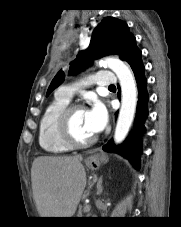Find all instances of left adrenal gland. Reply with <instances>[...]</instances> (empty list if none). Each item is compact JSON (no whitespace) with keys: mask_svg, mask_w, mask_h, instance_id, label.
<instances>
[{"mask_svg":"<svg viewBox=\"0 0 181 227\" xmlns=\"http://www.w3.org/2000/svg\"><path fill=\"white\" fill-rule=\"evenodd\" d=\"M102 176L97 181V194L100 195L102 193Z\"/></svg>","mask_w":181,"mask_h":227,"instance_id":"a2214340","label":"left adrenal gland"}]
</instances>
